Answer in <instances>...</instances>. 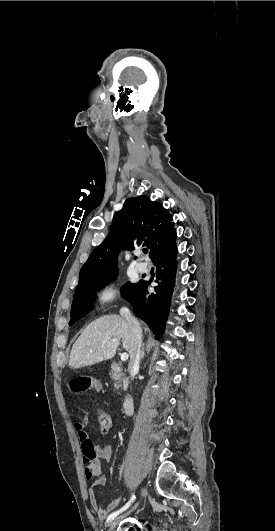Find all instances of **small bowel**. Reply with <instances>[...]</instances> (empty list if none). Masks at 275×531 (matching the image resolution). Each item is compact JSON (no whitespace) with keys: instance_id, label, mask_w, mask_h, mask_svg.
I'll list each match as a JSON object with an SVG mask.
<instances>
[{"instance_id":"obj_1","label":"small bowel","mask_w":275,"mask_h":531,"mask_svg":"<svg viewBox=\"0 0 275 531\" xmlns=\"http://www.w3.org/2000/svg\"><path fill=\"white\" fill-rule=\"evenodd\" d=\"M70 384L74 385L71 387V394L75 395L76 398L82 397V392H92L98 391L100 389V384L97 381V376L95 374L90 375H74L70 377ZM79 415L84 416L87 413L86 408L81 407L78 410ZM87 419L85 417L78 419L74 423V428L78 434V438L82 448L92 445L93 441L91 440L89 434L85 430ZM112 448L110 446H104L99 448L97 459L92 461L93 465L98 466L100 460L109 462L112 458ZM107 482L106 476L97 473L95 475L94 481L89 488V503L93 510L95 511L97 518L99 520H104L108 514L117 508L120 504L121 499H114L110 501L105 507L101 506L97 496V489L103 487Z\"/></svg>"}]
</instances>
